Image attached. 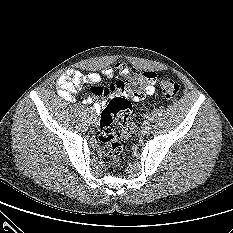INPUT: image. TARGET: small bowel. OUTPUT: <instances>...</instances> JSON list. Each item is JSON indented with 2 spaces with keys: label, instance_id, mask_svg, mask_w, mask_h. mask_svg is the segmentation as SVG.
Returning a JSON list of instances; mask_svg holds the SVG:
<instances>
[{
  "label": "small bowel",
  "instance_id": "c3829d8e",
  "mask_svg": "<svg viewBox=\"0 0 233 233\" xmlns=\"http://www.w3.org/2000/svg\"><path fill=\"white\" fill-rule=\"evenodd\" d=\"M115 70L121 75L122 79L113 81ZM132 70L123 62H117L114 68L108 67L102 70V74L107 78L106 86H96L90 90L88 97L83 100L85 104H92L97 109H100L101 104L105 99L115 94H122L127 97H133L128 89V80ZM145 78V83L142 86V92L152 94L155 90L154 83L156 75L154 72L142 73ZM102 76L98 72H90L87 74L79 70L70 69L64 72L56 82V87L59 95L67 102H73L75 95L85 84L97 85L101 82ZM135 100H139L134 98Z\"/></svg>",
  "mask_w": 233,
  "mask_h": 233
}]
</instances>
